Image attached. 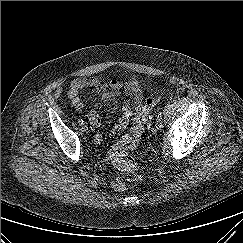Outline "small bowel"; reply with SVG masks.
<instances>
[{"label": "small bowel", "mask_w": 243, "mask_h": 243, "mask_svg": "<svg viewBox=\"0 0 243 243\" xmlns=\"http://www.w3.org/2000/svg\"><path fill=\"white\" fill-rule=\"evenodd\" d=\"M89 89H93L103 99L117 97L122 91H125L136 105L142 102L144 96V90L139 81L134 80L129 82H120L110 80L103 82L97 76H84L73 80L69 87L68 96L76 110L83 109L84 102L82 100V94ZM86 115L92 125L93 130L97 131L102 125V119L98 112L95 109H89ZM131 115V106L129 103L125 102L121 106V115L117 124L114 126L113 131L120 132L124 130L129 123ZM94 141L96 144H100L102 142L101 134L96 133Z\"/></svg>", "instance_id": "1"}]
</instances>
